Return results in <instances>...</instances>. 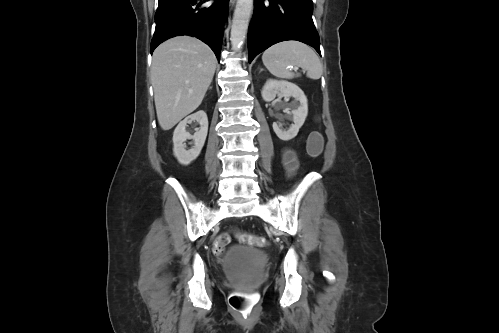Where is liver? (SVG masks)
Here are the masks:
<instances>
[{"label": "liver", "mask_w": 499, "mask_h": 333, "mask_svg": "<svg viewBox=\"0 0 499 333\" xmlns=\"http://www.w3.org/2000/svg\"><path fill=\"white\" fill-rule=\"evenodd\" d=\"M217 59L195 37L177 36L154 53L151 81L159 125L165 131L196 110L212 82Z\"/></svg>", "instance_id": "liver-1"}]
</instances>
